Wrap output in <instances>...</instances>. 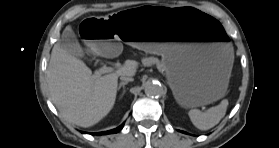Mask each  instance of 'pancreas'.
I'll use <instances>...</instances> for the list:
<instances>
[{"label": "pancreas", "instance_id": "1", "mask_svg": "<svg viewBox=\"0 0 279 148\" xmlns=\"http://www.w3.org/2000/svg\"><path fill=\"white\" fill-rule=\"evenodd\" d=\"M142 62L145 66H151L156 64L159 71L161 72L165 71L164 63L161 62L158 58L155 57L144 58Z\"/></svg>", "mask_w": 279, "mask_h": 148}]
</instances>
